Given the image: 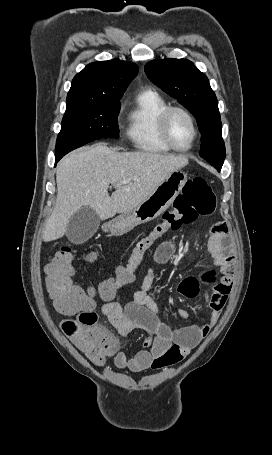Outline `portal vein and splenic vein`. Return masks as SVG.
Segmentation results:
<instances>
[{
  "instance_id": "1",
  "label": "portal vein and splenic vein",
  "mask_w": 272,
  "mask_h": 455,
  "mask_svg": "<svg viewBox=\"0 0 272 455\" xmlns=\"http://www.w3.org/2000/svg\"><path fill=\"white\" fill-rule=\"evenodd\" d=\"M130 181H131V179H127V180L122 181L121 184H127V183H129Z\"/></svg>"
}]
</instances>
